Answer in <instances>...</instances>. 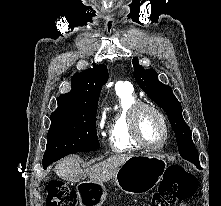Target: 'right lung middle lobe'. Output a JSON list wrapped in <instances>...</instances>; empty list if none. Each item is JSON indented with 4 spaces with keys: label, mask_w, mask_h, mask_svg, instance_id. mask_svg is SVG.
I'll list each match as a JSON object with an SVG mask.
<instances>
[{
    "label": "right lung middle lobe",
    "mask_w": 221,
    "mask_h": 206,
    "mask_svg": "<svg viewBox=\"0 0 221 206\" xmlns=\"http://www.w3.org/2000/svg\"><path fill=\"white\" fill-rule=\"evenodd\" d=\"M97 107L53 112L43 164H51L72 153L97 150Z\"/></svg>",
    "instance_id": "obj_1"
}]
</instances>
